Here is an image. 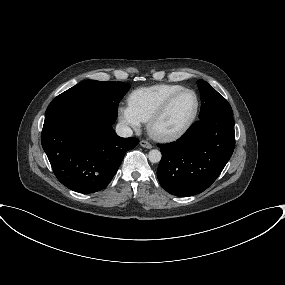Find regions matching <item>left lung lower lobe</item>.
Masks as SVG:
<instances>
[{
  "label": "left lung lower lobe",
  "instance_id": "obj_1",
  "mask_svg": "<svg viewBox=\"0 0 285 285\" xmlns=\"http://www.w3.org/2000/svg\"><path fill=\"white\" fill-rule=\"evenodd\" d=\"M158 146L161 186L176 196L199 194L217 179L234 151L233 115L201 118L177 141Z\"/></svg>",
  "mask_w": 285,
  "mask_h": 285
}]
</instances>
